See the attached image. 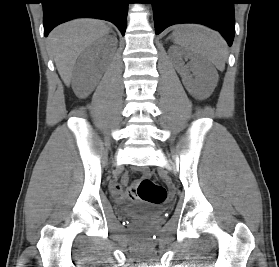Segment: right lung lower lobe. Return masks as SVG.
Returning a JSON list of instances; mask_svg holds the SVG:
<instances>
[{"mask_svg":"<svg viewBox=\"0 0 279 267\" xmlns=\"http://www.w3.org/2000/svg\"><path fill=\"white\" fill-rule=\"evenodd\" d=\"M42 3L45 36L58 24L78 17L110 21L122 35L125 33L128 0H43Z\"/></svg>","mask_w":279,"mask_h":267,"instance_id":"right-lung-lower-lobe-1","label":"right lung lower lobe"}]
</instances>
